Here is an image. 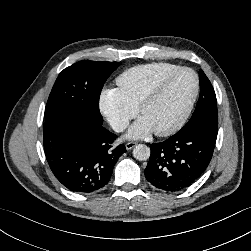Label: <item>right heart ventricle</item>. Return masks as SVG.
<instances>
[{"instance_id":"e07e8e85","label":"right heart ventricle","mask_w":251,"mask_h":251,"mask_svg":"<svg viewBox=\"0 0 251 251\" xmlns=\"http://www.w3.org/2000/svg\"><path fill=\"white\" fill-rule=\"evenodd\" d=\"M178 68L180 66L167 62L139 65L122 72L116 78V83L126 101L132 107L138 108L150 89L163 77Z\"/></svg>"}]
</instances>
